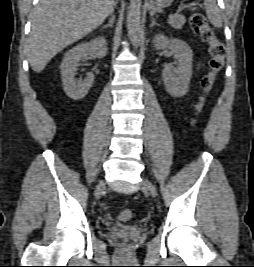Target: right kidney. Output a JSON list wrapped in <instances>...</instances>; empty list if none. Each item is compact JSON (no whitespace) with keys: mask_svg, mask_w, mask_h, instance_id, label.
<instances>
[{"mask_svg":"<svg viewBox=\"0 0 254 267\" xmlns=\"http://www.w3.org/2000/svg\"><path fill=\"white\" fill-rule=\"evenodd\" d=\"M107 51L106 39L97 37L90 42L78 44L65 53L60 68L63 89L68 97L73 100L83 99L94 81L93 73H87L84 80L75 79L79 62L86 59L88 55L103 58L106 56Z\"/></svg>","mask_w":254,"mask_h":267,"instance_id":"obj_1","label":"right kidney"}]
</instances>
